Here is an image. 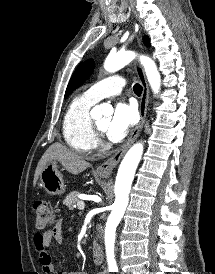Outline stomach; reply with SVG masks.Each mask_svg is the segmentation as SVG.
<instances>
[{
  "label": "stomach",
  "mask_w": 215,
  "mask_h": 274,
  "mask_svg": "<svg viewBox=\"0 0 215 274\" xmlns=\"http://www.w3.org/2000/svg\"><path fill=\"white\" fill-rule=\"evenodd\" d=\"M40 181L43 188L50 195H61L65 192L66 186L62 175L58 171L56 161H50L47 163L40 173Z\"/></svg>",
  "instance_id": "stomach-1"
}]
</instances>
